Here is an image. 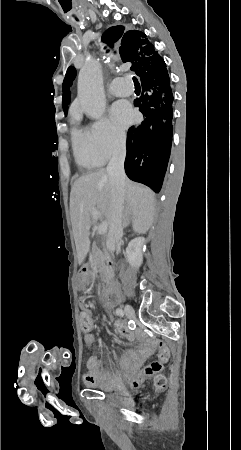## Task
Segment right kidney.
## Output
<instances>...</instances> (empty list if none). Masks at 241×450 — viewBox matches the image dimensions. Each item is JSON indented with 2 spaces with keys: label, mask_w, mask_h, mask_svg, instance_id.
Listing matches in <instances>:
<instances>
[{
  "label": "right kidney",
  "mask_w": 241,
  "mask_h": 450,
  "mask_svg": "<svg viewBox=\"0 0 241 450\" xmlns=\"http://www.w3.org/2000/svg\"><path fill=\"white\" fill-rule=\"evenodd\" d=\"M145 242V238H134L129 242L126 248V258L132 268H140L143 262L142 248Z\"/></svg>",
  "instance_id": "1"
}]
</instances>
